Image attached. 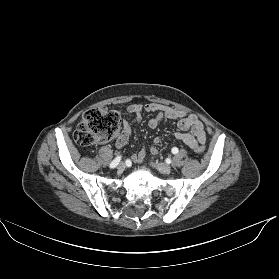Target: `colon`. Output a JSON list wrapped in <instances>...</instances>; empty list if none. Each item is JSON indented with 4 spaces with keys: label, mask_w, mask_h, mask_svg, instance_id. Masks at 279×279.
<instances>
[{
    "label": "colon",
    "mask_w": 279,
    "mask_h": 279,
    "mask_svg": "<svg viewBox=\"0 0 279 279\" xmlns=\"http://www.w3.org/2000/svg\"><path fill=\"white\" fill-rule=\"evenodd\" d=\"M121 131V116L112 109H91L86 111L77 126L74 137L85 149L113 139ZM193 150L204 153L203 145H196Z\"/></svg>",
    "instance_id": "colon-1"
}]
</instances>
